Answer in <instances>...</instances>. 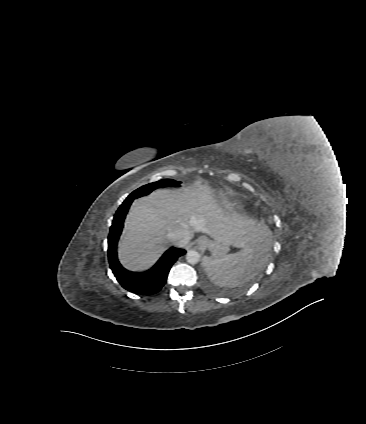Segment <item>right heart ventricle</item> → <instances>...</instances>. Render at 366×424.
<instances>
[{"label": "right heart ventricle", "mask_w": 366, "mask_h": 424, "mask_svg": "<svg viewBox=\"0 0 366 424\" xmlns=\"http://www.w3.org/2000/svg\"><path fill=\"white\" fill-rule=\"evenodd\" d=\"M233 207H234V205H233V204H230V203H228V204L226 205V208H227L228 210H231Z\"/></svg>", "instance_id": "e07e8e85"}]
</instances>
